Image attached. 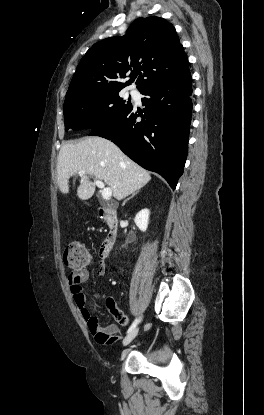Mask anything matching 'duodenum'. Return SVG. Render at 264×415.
<instances>
[{"instance_id": "duodenum-1", "label": "duodenum", "mask_w": 264, "mask_h": 415, "mask_svg": "<svg viewBox=\"0 0 264 415\" xmlns=\"http://www.w3.org/2000/svg\"><path fill=\"white\" fill-rule=\"evenodd\" d=\"M98 216L107 225V234L104 237L100 247V257L106 259L112 250L119 231V220L117 211L109 205H102L97 210Z\"/></svg>"}]
</instances>
